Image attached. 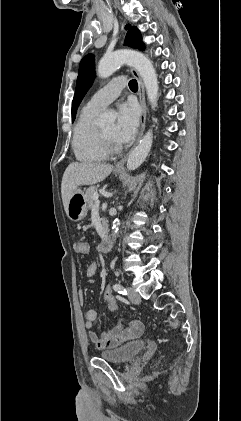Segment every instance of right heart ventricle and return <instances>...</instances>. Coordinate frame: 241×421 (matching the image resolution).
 I'll return each instance as SVG.
<instances>
[{"label":"right heart ventricle","instance_id":"right-heart-ventricle-1","mask_svg":"<svg viewBox=\"0 0 241 421\" xmlns=\"http://www.w3.org/2000/svg\"><path fill=\"white\" fill-rule=\"evenodd\" d=\"M98 112L86 105L75 124L72 149L75 157L81 162H101L109 156L100 138V130L94 123Z\"/></svg>","mask_w":241,"mask_h":421}]
</instances>
